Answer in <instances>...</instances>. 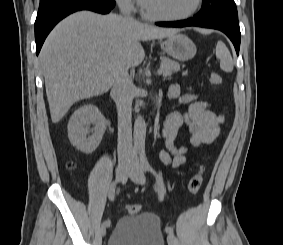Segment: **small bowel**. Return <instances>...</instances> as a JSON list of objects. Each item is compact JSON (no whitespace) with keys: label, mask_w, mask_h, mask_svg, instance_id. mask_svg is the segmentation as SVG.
Segmentation results:
<instances>
[{"label":"small bowel","mask_w":283,"mask_h":245,"mask_svg":"<svg viewBox=\"0 0 283 245\" xmlns=\"http://www.w3.org/2000/svg\"><path fill=\"white\" fill-rule=\"evenodd\" d=\"M170 99L185 105L183 112L174 111L164 121L162 137L165 150L160 153L161 160L171 167H180L186 162L188 148L177 146L175 141L179 129L186 126L190 133L191 144L204 147L213 143L219 136L224 116L210 109V103L196 94H182L178 84H172L166 92Z\"/></svg>","instance_id":"1"}]
</instances>
